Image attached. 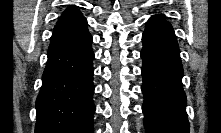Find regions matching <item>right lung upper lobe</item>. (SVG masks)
Instances as JSON below:
<instances>
[{
	"instance_id": "obj_1",
	"label": "right lung upper lobe",
	"mask_w": 221,
	"mask_h": 133,
	"mask_svg": "<svg viewBox=\"0 0 221 133\" xmlns=\"http://www.w3.org/2000/svg\"><path fill=\"white\" fill-rule=\"evenodd\" d=\"M87 34V20L75 6H70L55 25L51 43L75 42Z\"/></svg>"
}]
</instances>
